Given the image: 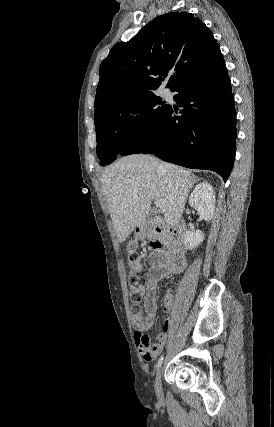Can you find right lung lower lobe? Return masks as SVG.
Segmentation results:
<instances>
[{"label": "right lung lower lobe", "mask_w": 274, "mask_h": 427, "mask_svg": "<svg viewBox=\"0 0 274 427\" xmlns=\"http://www.w3.org/2000/svg\"><path fill=\"white\" fill-rule=\"evenodd\" d=\"M173 91L180 116L169 106L143 138L120 152L155 154L187 168L209 169L224 181L235 159L236 112L225 64L197 74Z\"/></svg>", "instance_id": "obj_1"}]
</instances>
